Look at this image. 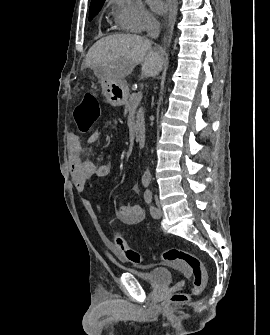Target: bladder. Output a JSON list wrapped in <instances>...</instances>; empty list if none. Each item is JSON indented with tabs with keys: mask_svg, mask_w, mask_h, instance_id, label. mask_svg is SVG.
<instances>
[{
	"mask_svg": "<svg viewBox=\"0 0 270 335\" xmlns=\"http://www.w3.org/2000/svg\"><path fill=\"white\" fill-rule=\"evenodd\" d=\"M129 272L137 275L141 282L157 287L170 286L172 277L174 276V272L166 268L154 269L148 272Z\"/></svg>",
	"mask_w": 270,
	"mask_h": 335,
	"instance_id": "1",
	"label": "bladder"
}]
</instances>
